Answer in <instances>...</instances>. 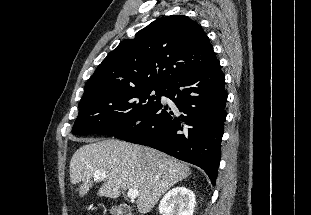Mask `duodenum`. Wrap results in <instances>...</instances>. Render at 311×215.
I'll use <instances>...</instances> for the list:
<instances>
[{
    "label": "duodenum",
    "mask_w": 311,
    "mask_h": 215,
    "mask_svg": "<svg viewBox=\"0 0 311 215\" xmlns=\"http://www.w3.org/2000/svg\"><path fill=\"white\" fill-rule=\"evenodd\" d=\"M116 215H131V210L127 205H120L116 209Z\"/></svg>",
    "instance_id": "duodenum-1"
}]
</instances>
